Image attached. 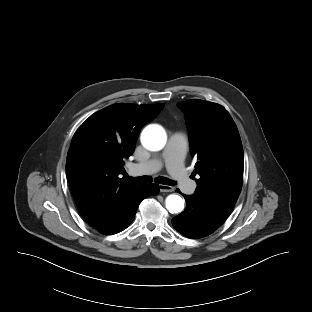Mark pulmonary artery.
<instances>
[{"mask_svg":"<svg viewBox=\"0 0 312 312\" xmlns=\"http://www.w3.org/2000/svg\"><path fill=\"white\" fill-rule=\"evenodd\" d=\"M187 146L186 137L181 133H174L169 137L161 158L136 164L133 168L142 173H149L156 172L165 165L179 187L184 192L191 193L194 190V182L189 178L183 166Z\"/></svg>","mask_w":312,"mask_h":312,"instance_id":"e3ab8cb5","label":"pulmonary artery"}]
</instances>
